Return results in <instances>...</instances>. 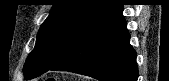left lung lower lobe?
Masks as SVG:
<instances>
[{
    "mask_svg": "<svg viewBox=\"0 0 169 81\" xmlns=\"http://www.w3.org/2000/svg\"><path fill=\"white\" fill-rule=\"evenodd\" d=\"M122 11L123 5L116 2L87 25L50 70L74 72L100 81H137L136 52L129 43Z\"/></svg>",
    "mask_w": 169,
    "mask_h": 81,
    "instance_id": "1",
    "label": "left lung lower lobe"
}]
</instances>
